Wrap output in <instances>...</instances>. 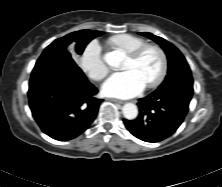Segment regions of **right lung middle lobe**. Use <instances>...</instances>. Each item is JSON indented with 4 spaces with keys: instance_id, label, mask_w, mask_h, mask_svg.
Listing matches in <instances>:
<instances>
[{
    "instance_id": "obj_1",
    "label": "right lung middle lobe",
    "mask_w": 222,
    "mask_h": 187,
    "mask_svg": "<svg viewBox=\"0 0 222 187\" xmlns=\"http://www.w3.org/2000/svg\"><path fill=\"white\" fill-rule=\"evenodd\" d=\"M102 34L103 32L95 30H81V31L72 32L62 38L56 39L46 49L59 50L70 54L69 53L70 48H74L75 52L81 55L86 45L92 39Z\"/></svg>"
}]
</instances>
